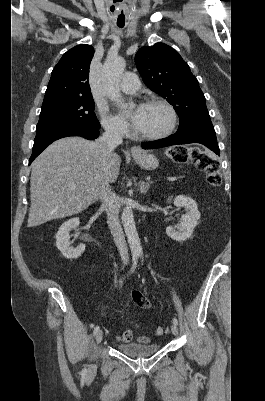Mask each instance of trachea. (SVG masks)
<instances>
[{
    "label": "trachea",
    "mask_w": 265,
    "mask_h": 401,
    "mask_svg": "<svg viewBox=\"0 0 265 401\" xmlns=\"http://www.w3.org/2000/svg\"><path fill=\"white\" fill-rule=\"evenodd\" d=\"M118 27L122 28L124 27V23H117Z\"/></svg>",
    "instance_id": "1"
}]
</instances>
